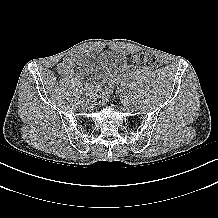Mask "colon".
Segmentation results:
<instances>
[{
  "instance_id": "5ec220e1",
  "label": "colon",
  "mask_w": 218,
  "mask_h": 218,
  "mask_svg": "<svg viewBox=\"0 0 218 218\" xmlns=\"http://www.w3.org/2000/svg\"><path fill=\"white\" fill-rule=\"evenodd\" d=\"M160 62L152 53H131L126 57L127 66H145L149 69H156ZM113 95V88L108 87L98 93L95 97L97 105L106 106Z\"/></svg>"
}]
</instances>
